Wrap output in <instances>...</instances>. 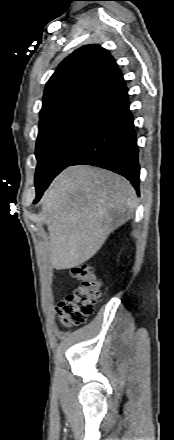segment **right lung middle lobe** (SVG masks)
I'll use <instances>...</instances> for the list:
<instances>
[{
  "mask_svg": "<svg viewBox=\"0 0 174 440\" xmlns=\"http://www.w3.org/2000/svg\"><path fill=\"white\" fill-rule=\"evenodd\" d=\"M98 95L80 98L40 119L35 186L50 184L73 160L95 115Z\"/></svg>",
  "mask_w": 174,
  "mask_h": 440,
  "instance_id": "right-lung-middle-lobe-1",
  "label": "right lung middle lobe"
}]
</instances>
